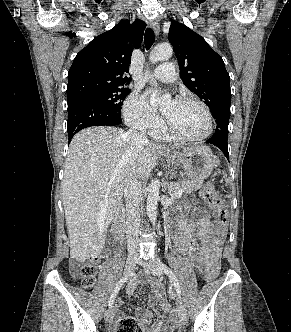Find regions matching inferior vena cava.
I'll return each instance as SVG.
<instances>
[{
	"label": "inferior vena cava",
	"mask_w": 291,
	"mask_h": 332,
	"mask_svg": "<svg viewBox=\"0 0 291 332\" xmlns=\"http://www.w3.org/2000/svg\"><path fill=\"white\" fill-rule=\"evenodd\" d=\"M132 144L139 147L147 143L145 134L134 130L129 131ZM124 198L126 203V238L127 248L130 254L138 252V236L140 227L139 206L141 202V182L135 176V173H128L124 180Z\"/></svg>",
	"instance_id": "obj_1"
}]
</instances>
